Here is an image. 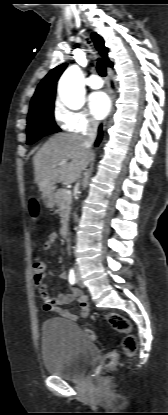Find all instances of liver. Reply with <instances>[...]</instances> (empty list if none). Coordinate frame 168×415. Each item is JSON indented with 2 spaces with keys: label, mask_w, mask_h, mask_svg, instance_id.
<instances>
[{
  "label": "liver",
  "mask_w": 168,
  "mask_h": 415,
  "mask_svg": "<svg viewBox=\"0 0 168 415\" xmlns=\"http://www.w3.org/2000/svg\"><path fill=\"white\" fill-rule=\"evenodd\" d=\"M93 159L94 153L85 147L83 136L56 134L33 158L35 182L42 192L50 190L56 183L72 184ZM63 160L67 162L58 166Z\"/></svg>",
  "instance_id": "1"
}]
</instances>
